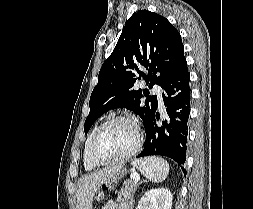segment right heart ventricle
Here are the masks:
<instances>
[{
  "label": "right heart ventricle",
  "mask_w": 253,
  "mask_h": 209,
  "mask_svg": "<svg viewBox=\"0 0 253 209\" xmlns=\"http://www.w3.org/2000/svg\"><path fill=\"white\" fill-rule=\"evenodd\" d=\"M97 128H98V126L95 127V128L91 131V133H90V135L88 136V138H87V140H86V142H85V145H84L83 164H84L85 169H87V170H93V169H95V168L98 166V165H96V164L92 161L91 156H90V145H91V140H92L93 135H94V133H95V131H96Z\"/></svg>",
  "instance_id": "1"
}]
</instances>
